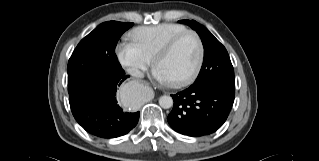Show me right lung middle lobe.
Segmentation results:
<instances>
[{
  "mask_svg": "<svg viewBox=\"0 0 319 161\" xmlns=\"http://www.w3.org/2000/svg\"><path fill=\"white\" fill-rule=\"evenodd\" d=\"M132 25L117 21L104 22L80 41L68 62L69 95L79 85L87 83L88 78L120 65L114 50L121 35Z\"/></svg>",
  "mask_w": 319,
  "mask_h": 161,
  "instance_id": "1",
  "label": "right lung middle lobe"
}]
</instances>
